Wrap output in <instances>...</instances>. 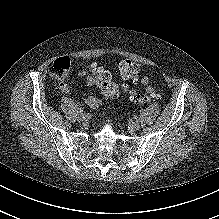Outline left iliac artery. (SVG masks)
Wrapping results in <instances>:
<instances>
[{"label": "left iliac artery", "mask_w": 219, "mask_h": 219, "mask_svg": "<svg viewBox=\"0 0 219 219\" xmlns=\"http://www.w3.org/2000/svg\"><path fill=\"white\" fill-rule=\"evenodd\" d=\"M135 120H136V121H139V118H138V117H135Z\"/></svg>", "instance_id": "44dca946"}]
</instances>
